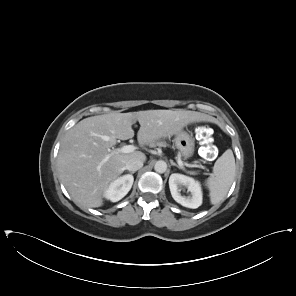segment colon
<instances>
[{"label":"colon","instance_id":"colon-1","mask_svg":"<svg viewBox=\"0 0 296 296\" xmlns=\"http://www.w3.org/2000/svg\"><path fill=\"white\" fill-rule=\"evenodd\" d=\"M196 137L202 144L200 154L204 159H213L216 156V148L213 144V138L206 126L198 125L195 128Z\"/></svg>","mask_w":296,"mask_h":296}]
</instances>
